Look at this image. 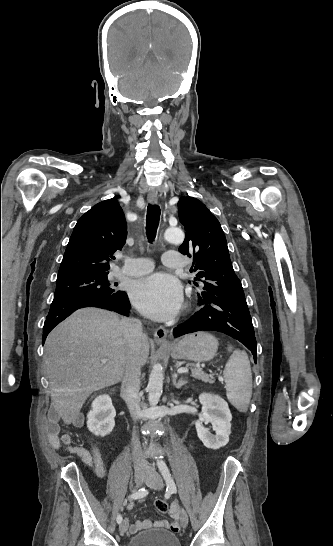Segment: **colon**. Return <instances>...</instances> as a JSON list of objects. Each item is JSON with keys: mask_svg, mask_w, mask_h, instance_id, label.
I'll use <instances>...</instances> for the list:
<instances>
[{"mask_svg": "<svg viewBox=\"0 0 333 546\" xmlns=\"http://www.w3.org/2000/svg\"><path fill=\"white\" fill-rule=\"evenodd\" d=\"M155 508L161 513H166L169 510L168 504L162 499H158L155 501Z\"/></svg>", "mask_w": 333, "mask_h": 546, "instance_id": "obj_1", "label": "colon"}]
</instances>
